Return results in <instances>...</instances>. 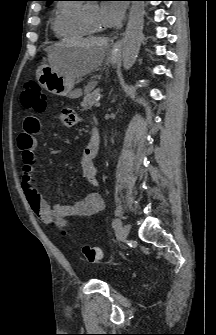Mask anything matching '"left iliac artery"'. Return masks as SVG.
<instances>
[{"label":"left iliac artery","instance_id":"left-iliac-artery-1","mask_svg":"<svg viewBox=\"0 0 216 335\" xmlns=\"http://www.w3.org/2000/svg\"><path fill=\"white\" fill-rule=\"evenodd\" d=\"M112 226L114 229H119L121 227V221L119 219L114 220Z\"/></svg>","mask_w":216,"mask_h":335}]
</instances>
